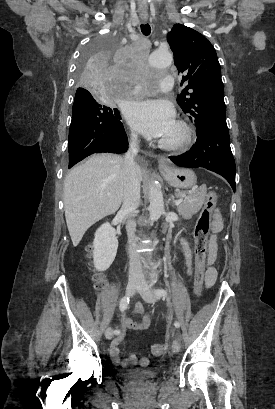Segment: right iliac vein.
Returning a JSON list of instances; mask_svg holds the SVG:
<instances>
[{"label": "right iliac vein", "instance_id": "63e3f726", "mask_svg": "<svg viewBox=\"0 0 275 409\" xmlns=\"http://www.w3.org/2000/svg\"><path fill=\"white\" fill-rule=\"evenodd\" d=\"M140 283L138 282H128L127 287H126V294L127 295H133L135 291L139 288ZM105 336L107 339H111L113 337V329L111 327L107 328L105 331Z\"/></svg>", "mask_w": 275, "mask_h": 409}]
</instances>
